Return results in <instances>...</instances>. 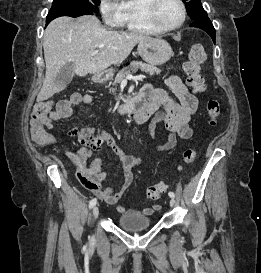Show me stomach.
I'll return each mask as SVG.
<instances>
[{"label": "stomach", "instance_id": "1", "mask_svg": "<svg viewBox=\"0 0 261 273\" xmlns=\"http://www.w3.org/2000/svg\"><path fill=\"white\" fill-rule=\"evenodd\" d=\"M138 53L151 65H162L173 56L169 43L160 38L142 40L138 44Z\"/></svg>", "mask_w": 261, "mask_h": 273}]
</instances>
